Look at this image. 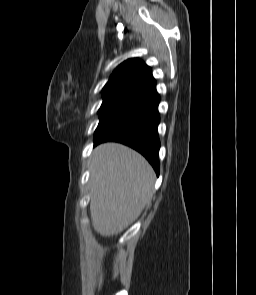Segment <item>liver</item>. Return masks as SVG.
<instances>
[{
	"label": "liver",
	"instance_id": "liver-1",
	"mask_svg": "<svg viewBox=\"0 0 256 295\" xmlns=\"http://www.w3.org/2000/svg\"><path fill=\"white\" fill-rule=\"evenodd\" d=\"M90 171L93 227L102 236L117 235L151 201L155 173L143 156L119 143L97 146Z\"/></svg>",
	"mask_w": 256,
	"mask_h": 295
}]
</instances>
